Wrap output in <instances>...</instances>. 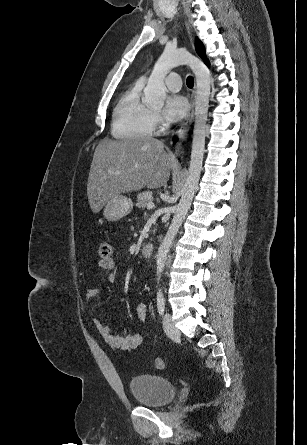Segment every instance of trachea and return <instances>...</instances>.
<instances>
[{
	"instance_id": "trachea-1",
	"label": "trachea",
	"mask_w": 307,
	"mask_h": 445,
	"mask_svg": "<svg viewBox=\"0 0 307 445\" xmlns=\"http://www.w3.org/2000/svg\"><path fill=\"white\" fill-rule=\"evenodd\" d=\"M186 84L189 88H192L194 85V78L192 76H188L186 80Z\"/></svg>"
}]
</instances>
